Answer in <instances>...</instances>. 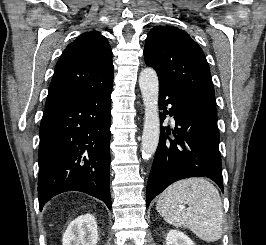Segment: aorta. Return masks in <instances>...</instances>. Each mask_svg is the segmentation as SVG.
<instances>
[{
	"label": "aorta",
	"instance_id": "obj_1",
	"mask_svg": "<svg viewBox=\"0 0 266 245\" xmlns=\"http://www.w3.org/2000/svg\"><path fill=\"white\" fill-rule=\"evenodd\" d=\"M139 86L143 98L145 116L142 133L141 153L142 159H152L159 143V80L154 68H143L139 74Z\"/></svg>",
	"mask_w": 266,
	"mask_h": 245
}]
</instances>
